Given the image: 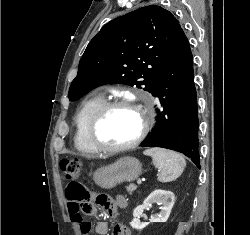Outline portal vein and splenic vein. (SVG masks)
Listing matches in <instances>:
<instances>
[{"mask_svg":"<svg viewBox=\"0 0 250 235\" xmlns=\"http://www.w3.org/2000/svg\"><path fill=\"white\" fill-rule=\"evenodd\" d=\"M142 181L140 179L137 180V184H141Z\"/></svg>","mask_w":250,"mask_h":235,"instance_id":"1","label":"portal vein and splenic vein"}]
</instances>
